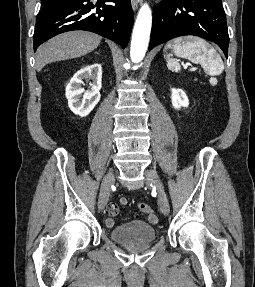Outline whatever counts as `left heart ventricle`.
<instances>
[{
  "instance_id": "1",
  "label": "left heart ventricle",
  "mask_w": 255,
  "mask_h": 287,
  "mask_svg": "<svg viewBox=\"0 0 255 287\" xmlns=\"http://www.w3.org/2000/svg\"><path fill=\"white\" fill-rule=\"evenodd\" d=\"M147 48H164V47H147Z\"/></svg>"
}]
</instances>
